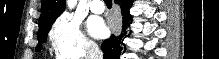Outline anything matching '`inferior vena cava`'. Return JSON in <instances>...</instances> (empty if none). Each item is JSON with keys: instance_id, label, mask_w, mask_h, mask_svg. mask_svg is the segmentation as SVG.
<instances>
[{"instance_id": "602c4592", "label": "inferior vena cava", "mask_w": 219, "mask_h": 59, "mask_svg": "<svg viewBox=\"0 0 219 59\" xmlns=\"http://www.w3.org/2000/svg\"><path fill=\"white\" fill-rule=\"evenodd\" d=\"M86 59H103V53L97 44H86Z\"/></svg>"}]
</instances>
